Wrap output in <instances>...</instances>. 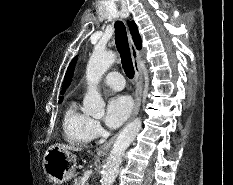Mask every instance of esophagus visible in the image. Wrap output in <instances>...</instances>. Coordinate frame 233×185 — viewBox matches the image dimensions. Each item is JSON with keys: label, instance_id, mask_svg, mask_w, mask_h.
Instances as JSON below:
<instances>
[{"label": "esophagus", "instance_id": "esophagus-1", "mask_svg": "<svg viewBox=\"0 0 233 185\" xmlns=\"http://www.w3.org/2000/svg\"><path fill=\"white\" fill-rule=\"evenodd\" d=\"M128 40H129V46H130L133 66H134L135 75H136L135 104H134L133 112L129 119L130 121L138 114L139 109H140L142 90H143V78H142V71H141L140 64H139L140 57H141L140 52L136 49L130 34L128 35ZM116 137H117V134L114 135L108 142L104 143L99 148H97V154L106 155Z\"/></svg>", "mask_w": 233, "mask_h": 185}]
</instances>
